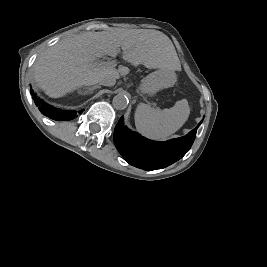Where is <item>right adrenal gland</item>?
Instances as JSON below:
<instances>
[{"mask_svg": "<svg viewBox=\"0 0 267 267\" xmlns=\"http://www.w3.org/2000/svg\"><path fill=\"white\" fill-rule=\"evenodd\" d=\"M101 88L100 85H94L92 87H85L84 89H87V91L84 94L90 93L92 94L94 92L95 89ZM81 93V92H79Z\"/></svg>", "mask_w": 267, "mask_h": 267, "instance_id": "1", "label": "right adrenal gland"}]
</instances>
